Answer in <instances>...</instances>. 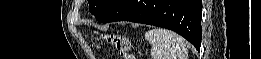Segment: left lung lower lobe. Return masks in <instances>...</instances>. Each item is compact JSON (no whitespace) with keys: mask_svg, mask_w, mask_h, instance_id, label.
<instances>
[{"mask_svg":"<svg viewBox=\"0 0 261 59\" xmlns=\"http://www.w3.org/2000/svg\"><path fill=\"white\" fill-rule=\"evenodd\" d=\"M201 0H120L98 21H132L173 30L200 49Z\"/></svg>","mask_w":261,"mask_h":59,"instance_id":"0a47b994","label":"left lung lower lobe"}]
</instances>
